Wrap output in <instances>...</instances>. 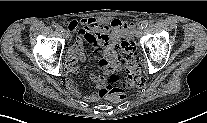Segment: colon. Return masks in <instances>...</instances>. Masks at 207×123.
Wrapping results in <instances>:
<instances>
[{
  "mask_svg": "<svg viewBox=\"0 0 207 123\" xmlns=\"http://www.w3.org/2000/svg\"><path fill=\"white\" fill-rule=\"evenodd\" d=\"M119 61L125 74L112 71L101 80L99 97L111 102L122 101L129 89L138 88L144 84L145 76L142 72L134 46L128 40H122L119 45Z\"/></svg>",
  "mask_w": 207,
  "mask_h": 123,
  "instance_id": "colon-1",
  "label": "colon"
}]
</instances>
